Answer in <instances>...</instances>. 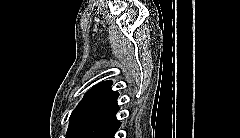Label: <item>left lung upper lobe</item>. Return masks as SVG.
Returning a JSON list of instances; mask_svg holds the SVG:
<instances>
[{
  "label": "left lung upper lobe",
  "mask_w": 240,
  "mask_h": 138,
  "mask_svg": "<svg viewBox=\"0 0 240 138\" xmlns=\"http://www.w3.org/2000/svg\"><path fill=\"white\" fill-rule=\"evenodd\" d=\"M112 82H101L91 88L72 112L66 138H78L96 113L117 93L111 89Z\"/></svg>",
  "instance_id": "obj_1"
}]
</instances>
